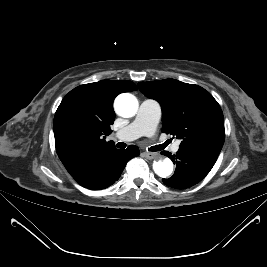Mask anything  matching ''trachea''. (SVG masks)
<instances>
[{"label":"trachea","mask_w":267,"mask_h":267,"mask_svg":"<svg viewBox=\"0 0 267 267\" xmlns=\"http://www.w3.org/2000/svg\"><path fill=\"white\" fill-rule=\"evenodd\" d=\"M169 144V142H165L164 144L162 145H156V146H153L151 148H149L150 151H160V150H163L167 145ZM117 147L118 148H125L126 147V144L123 143V142H119L117 144Z\"/></svg>","instance_id":"1"}]
</instances>
